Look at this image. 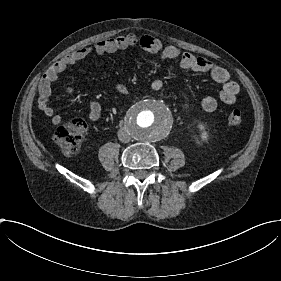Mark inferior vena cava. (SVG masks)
I'll list each match as a JSON object with an SVG mask.
<instances>
[{"mask_svg": "<svg viewBox=\"0 0 281 281\" xmlns=\"http://www.w3.org/2000/svg\"><path fill=\"white\" fill-rule=\"evenodd\" d=\"M118 139L123 143H128L130 142L131 137L125 128H120L118 130Z\"/></svg>", "mask_w": 281, "mask_h": 281, "instance_id": "obj_1", "label": "inferior vena cava"}]
</instances>
